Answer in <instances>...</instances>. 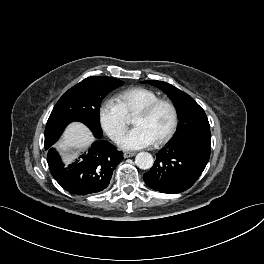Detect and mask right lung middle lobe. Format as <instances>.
Here are the masks:
<instances>
[{"instance_id": "1", "label": "right lung middle lobe", "mask_w": 264, "mask_h": 264, "mask_svg": "<svg viewBox=\"0 0 264 264\" xmlns=\"http://www.w3.org/2000/svg\"><path fill=\"white\" fill-rule=\"evenodd\" d=\"M123 81L104 76L88 77L70 88L54 106L45 128V149L52 146L66 125L80 121L96 137L102 136L99 108L102 99Z\"/></svg>"}]
</instances>
